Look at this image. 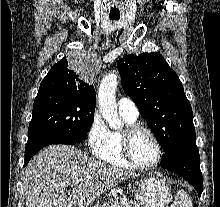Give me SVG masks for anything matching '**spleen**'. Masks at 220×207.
<instances>
[{"instance_id": "3e777b00", "label": "spleen", "mask_w": 220, "mask_h": 207, "mask_svg": "<svg viewBox=\"0 0 220 207\" xmlns=\"http://www.w3.org/2000/svg\"><path fill=\"white\" fill-rule=\"evenodd\" d=\"M172 207H193V204L189 195L185 191L180 190L175 196Z\"/></svg>"}]
</instances>
